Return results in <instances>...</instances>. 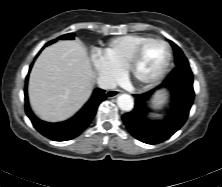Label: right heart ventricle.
Wrapping results in <instances>:
<instances>
[{
	"label": "right heart ventricle",
	"mask_w": 222,
	"mask_h": 187,
	"mask_svg": "<svg viewBox=\"0 0 222 187\" xmlns=\"http://www.w3.org/2000/svg\"><path fill=\"white\" fill-rule=\"evenodd\" d=\"M148 38L149 36L139 34L113 38L102 49V56L123 71L137 46Z\"/></svg>",
	"instance_id": "right-heart-ventricle-1"
}]
</instances>
